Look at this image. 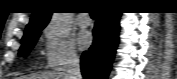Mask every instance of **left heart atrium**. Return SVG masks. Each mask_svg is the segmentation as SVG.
I'll list each match as a JSON object with an SVG mask.
<instances>
[{"label":"left heart atrium","instance_id":"obj_1","mask_svg":"<svg viewBox=\"0 0 177 79\" xmlns=\"http://www.w3.org/2000/svg\"><path fill=\"white\" fill-rule=\"evenodd\" d=\"M93 41L92 35L89 31L83 30L78 34V44L81 49H87L91 46Z\"/></svg>","mask_w":177,"mask_h":79}]
</instances>
